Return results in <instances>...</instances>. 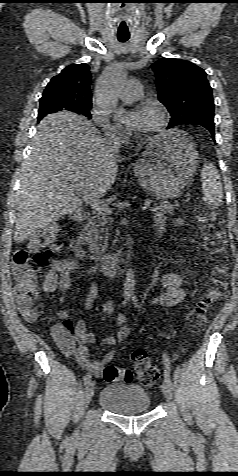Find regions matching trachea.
<instances>
[{
	"label": "trachea",
	"mask_w": 238,
	"mask_h": 476,
	"mask_svg": "<svg viewBox=\"0 0 238 476\" xmlns=\"http://www.w3.org/2000/svg\"><path fill=\"white\" fill-rule=\"evenodd\" d=\"M128 39H129V36H118V40L121 43H125L126 41H128Z\"/></svg>",
	"instance_id": "3493384b"
}]
</instances>
